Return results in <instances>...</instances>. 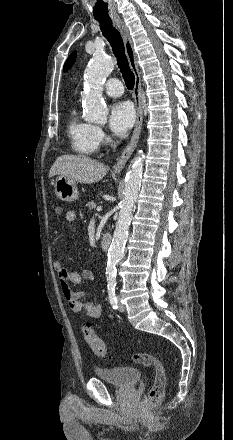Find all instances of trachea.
Returning a JSON list of instances; mask_svg holds the SVG:
<instances>
[{
    "label": "trachea",
    "instance_id": "3493384b",
    "mask_svg": "<svg viewBox=\"0 0 233 440\" xmlns=\"http://www.w3.org/2000/svg\"><path fill=\"white\" fill-rule=\"evenodd\" d=\"M97 21L100 23V29L103 36L109 41L113 53L117 58V64L123 75L127 88L132 90L134 87L135 77L134 73L129 67V63L125 55L123 39L119 31L112 26L111 19H97Z\"/></svg>",
    "mask_w": 233,
    "mask_h": 440
}]
</instances>
